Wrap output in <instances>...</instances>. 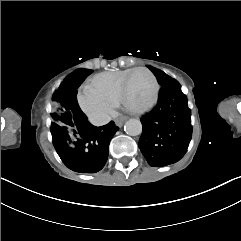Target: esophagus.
<instances>
[{"label": "esophagus", "mask_w": 241, "mask_h": 241, "mask_svg": "<svg viewBox=\"0 0 241 241\" xmlns=\"http://www.w3.org/2000/svg\"><path fill=\"white\" fill-rule=\"evenodd\" d=\"M126 119H127L126 117H122V118L116 119V120H115V124H116L118 127H122V126H123V123L125 122Z\"/></svg>", "instance_id": "esophagus-1"}]
</instances>
